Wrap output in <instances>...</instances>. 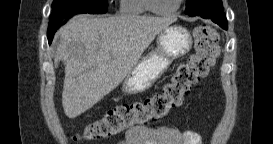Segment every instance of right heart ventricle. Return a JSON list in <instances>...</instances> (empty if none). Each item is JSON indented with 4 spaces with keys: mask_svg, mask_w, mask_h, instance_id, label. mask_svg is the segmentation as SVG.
I'll return each instance as SVG.
<instances>
[{
    "mask_svg": "<svg viewBox=\"0 0 273 144\" xmlns=\"http://www.w3.org/2000/svg\"><path fill=\"white\" fill-rule=\"evenodd\" d=\"M120 11L123 15L139 16L146 13V0H122Z\"/></svg>",
    "mask_w": 273,
    "mask_h": 144,
    "instance_id": "e07e8e85",
    "label": "right heart ventricle"
}]
</instances>
